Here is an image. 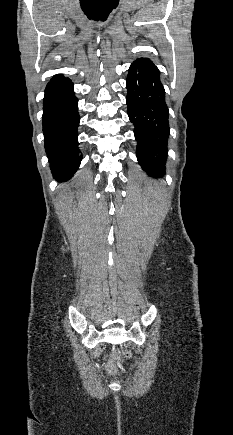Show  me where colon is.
I'll list each match as a JSON object with an SVG mask.
<instances>
[{"mask_svg": "<svg viewBox=\"0 0 233 435\" xmlns=\"http://www.w3.org/2000/svg\"><path fill=\"white\" fill-rule=\"evenodd\" d=\"M128 356V353L127 352H125V351H123L122 349H114L112 352H111V358H112V360H120V359H122V358H124V357H127ZM108 371L110 372V373H114L115 371H116V368H115V366L113 365V364H110L109 366H108Z\"/></svg>", "mask_w": 233, "mask_h": 435, "instance_id": "colon-1", "label": "colon"}]
</instances>
